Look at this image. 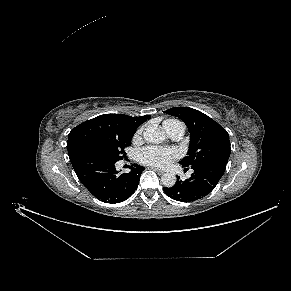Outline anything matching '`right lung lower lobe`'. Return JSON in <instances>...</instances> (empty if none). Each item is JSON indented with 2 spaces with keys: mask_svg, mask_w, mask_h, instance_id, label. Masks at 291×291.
Wrapping results in <instances>:
<instances>
[{
  "mask_svg": "<svg viewBox=\"0 0 291 291\" xmlns=\"http://www.w3.org/2000/svg\"><path fill=\"white\" fill-rule=\"evenodd\" d=\"M82 184L105 203L127 200L137 189L144 167L133 164L129 173L118 174L116 160L96 153H85L70 160Z\"/></svg>",
  "mask_w": 291,
  "mask_h": 291,
  "instance_id": "1",
  "label": "right lung lower lobe"
}]
</instances>
